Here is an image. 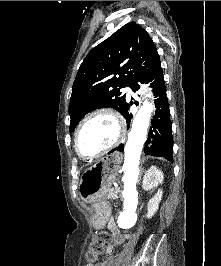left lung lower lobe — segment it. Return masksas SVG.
I'll return each mask as SVG.
<instances>
[{
    "instance_id": "obj_1",
    "label": "left lung lower lobe",
    "mask_w": 221,
    "mask_h": 266,
    "mask_svg": "<svg viewBox=\"0 0 221 266\" xmlns=\"http://www.w3.org/2000/svg\"><path fill=\"white\" fill-rule=\"evenodd\" d=\"M138 82L142 84L149 83L150 87L153 88V93L155 96L154 102L157 108L155 111V115L151 120V127L149 130L148 140L144 151L146 154L153 156H162L170 162H173V138L170 111L161 64L159 63L145 76L132 83L130 87L133 91L140 89V85L138 84ZM132 104L133 101H130V104H127L122 114L127 121V127H129L130 121L132 119V114H129V108ZM123 149L124 145L120 144L118 147L111 150L109 153H112L114 151L122 152Z\"/></svg>"
}]
</instances>
